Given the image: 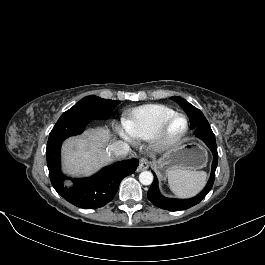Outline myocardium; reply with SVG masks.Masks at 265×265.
<instances>
[{"mask_svg":"<svg viewBox=\"0 0 265 265\" xmlns=\"http://www.w3.org/2000/svg\"><path fill=\"white\" fill-rule=\"evenodd\" d=\"M176 118H182L184 120V127L183 129L175 135H171L169 130ZM189 129V121L188 118L179 112H174L169 117H167L159 126L155 135L151 138L153 145L161 150H166L171 147L176 146L179 144L184 136L187 134Z\"/></svg>","mask_w":265,"mask_h":265,"instance_id":"obj_1","label":"myocardium"}]
</instances>
